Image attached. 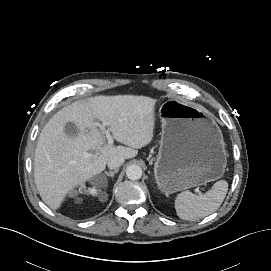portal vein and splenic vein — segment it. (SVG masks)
Wrapping results in <instances>:
<instances>
[{"instance_id":"1","label":"portal vein and splenic vein","mask_w":271,"mask_h":271,"mask_svg":"<svg viewBox=\"0 0 271 271\" xmlns=\"http://www.w3.org/2000/svg\"><path fill=\"white\" fill-rule=\"evenodd\" d=\"M99 127L104 132V134L106 135L107 140H108V145H112L113 144V138H112V136L110 134V131L105 128L106 127L105 124L99 125ZM93 156H94V154H92V153H88V152L83 153V157H85V158H90V157H93ZM195 191L200 194V191H199L198 188H196Z\"/></svg>"}]
</instances>
